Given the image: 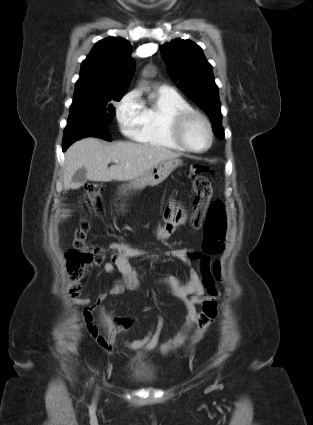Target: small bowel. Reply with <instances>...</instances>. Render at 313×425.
I'll return each instance as SVG.
<instances>
[{"label":"small bowel","mask_w":313,"mask_h":425,"mask_svg":"<svg viewBox=\"0 0 313 425\" xmlns=\"http://www.w3.org/2000/svg\"><path fill=\"white\" fill-rule=\"evenodd\" d=\"M186 221V213L183 208L171 202L166 208L163 223L157 229V237L165 240L170 237L174 228ZM109 249L114 252L111 260L106 262L101 273L112 274L119 273V278L113 286L106 292L99 294L94 300L88 295L76 294L73 302L82 307L81 316L85 327L93 340L100 345L106 352H111L114 342L103 337L94 320V312L108 296H118L124 291H138L140 289V276L131 263L132 258H138L145 255L144 251L132 248L129 244L123 242H113ZM189 249H174L168 252L188 266V272L184 281H179L174 276H169L161 281L171 294L179 298L186 309V327L176 338L162 344L159 349L166 353L177 347L182 346L188 339L192 343L198 342L204 335L207 328L214 321L217 314V301L205 295L202 276L198 269L190 266L188 258ZM105 257L101 253L95 255L94 265H99ZM201 305V311L196 309ZM132 318H114L113 326L117 332L128 328ZM164 325L162 316H158L150 331L141 339L127 341L125 346L131 350H155L158 347L159 338ZM192 331V334L190 332Z\"/></svg>","instance_id":"small-bowel-1"}]
</instances>
